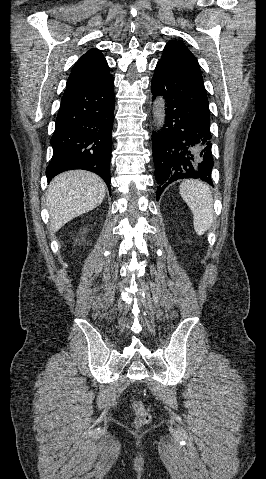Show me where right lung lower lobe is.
<instances>
[{
	"mask_svg": "<svg viewBox=\"0 0 266 479\" xmlns=\"http://www.w3.org/2000/svg\"><path fill=\"white\" fill-rule=\"evenodd\" d=\"M113 86L111 74L67 85L50 140L53 156L46 169L48 182L63 171L84 169L98 174L110 191Z\"/></svg>",
	"mask_w": 266,
	"mask_h": 479,
	"instance_id": "obj_1",
	"label": "right lung lower lobe"
}]
</instances>
